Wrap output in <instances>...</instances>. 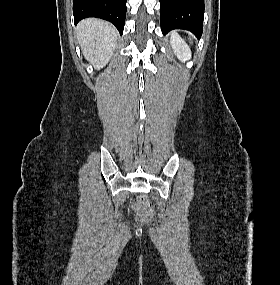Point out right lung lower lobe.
<instances>
[{"instance_id":"obj_1","label":"right lung lower lobe","mask_w":280,"mask_h":285,"mask_svg":"<svg viewBox=\"0 0 280 285\" xmlns=\"http://www.w3.org/2000/svg\"><path fill=\"white\" fill-rule=\"evenodd\" d=\"M127 0H73L74 22L97 17L113 23L123 34Z\"/></svg>"}]
</instances>
